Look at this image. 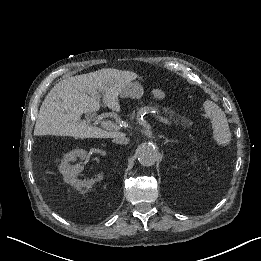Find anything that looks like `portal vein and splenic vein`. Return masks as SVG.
Returning <instances> with one entry per match:
<instances>
[{"mask_svg":"<svg viewBox=\"0 0 261 261\" xmlns=\"http://www.w3.org/2000/svg\"><path fill=\"white\" fill-rule=\"evenodd\" d=\"M153 119L156 121H159L160 123H166L169 127H172L174 125V122L172 121V119L170 117H165V115L163 113L153 114ZM115 128H116V124H114V123H111L108 126V129H115Z\"/></svg>","mask_w":261,"mask_h":261,"instance_id":"obj_1","label":"portal vein and splenic vein"}]
</instances>
